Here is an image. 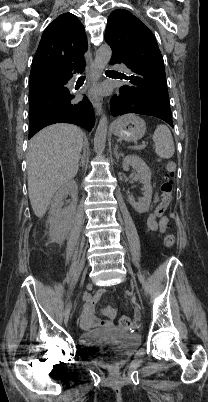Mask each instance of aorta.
I'll return each instance as SVG.
<instances>
[{
  "label": "aorta",
  "instance_id": "762f6f07",
  "mask_svg": "<svg viewBox=\"0 0 208 402\" xmlns=\"http://www.w3.org/2000/svg\"><path fill=\"white\" fill-rule=\"evenodd\" d=\"M112 56V50L110 46L104 44V46H100L96 52L95 60H94V68H93V76L94 80H100L102 78V74H104V70L110 62ZM108 132V122L106 116H102L96 130L95 138H94V150L97 156H102L105 150L106 138Z\"/></svg>",
  "mask_w": 208,
  "mask_h": 402
}]
</instances>
